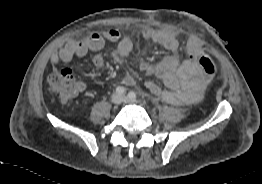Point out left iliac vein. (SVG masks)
Here are the masks:
<instances>
[{"label": "left iliac vein", "mask_w": 262, "mask_h": 184, "mask_svg": "<svg viewBox=\"0 0 262 184\" xmlns=\"http://www.w3.org/2000/svg\"><path fill=\"white\" fill-rule=\"evenodd\" d=\"M122 101L125 103H135V99H131L129 97L126 96H122Z\"/></svg>", "instance_id": "4c4485c4"}]
</instances>
